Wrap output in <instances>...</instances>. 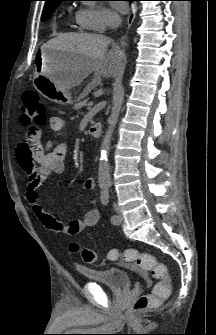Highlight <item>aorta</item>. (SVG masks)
Instances as JSON below:
<instances>
[{
	"instance_id": "obj_1",
	"label": "aorta",
	"mask_w": 216,
	"mask_h": 335,
	"mask_svg": "<svg viewBox=\"0 0 216 335\" xmlns=\"http://www.w3.org/2000/svg\"><path fill=\"white\" fill-rule=\"evenodd\" d=\"M125 89L122 84H118L115 88L113 94V105L111 110V115L108 119V129L104 135L102 145H101V154L99 159L98 167V183L102 186H110L111 184V175L109 169V153L111 148V139L117 124L122 105L124 102Z\"/></svg>"
}]
</instances>
